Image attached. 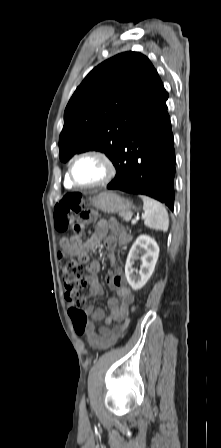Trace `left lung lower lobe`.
<instances>
[{
    "mask_svg": "<svg viewBox=\"0 0 221 448\" xmlns=\"http://www.w3.org/2000/svg\"><path fill=\"white\" fill-rule=\"evenodd\" d=\"M165 91L125 134L112 161L116 168L108 189L143 194L174 207L175 151Z\"/></svg>",
    "mask_w": 221,
    "mask_h": 448,
    "instance_id": "0a47b994",
    "label": "left lung lower lobe"
}]
</instances>
